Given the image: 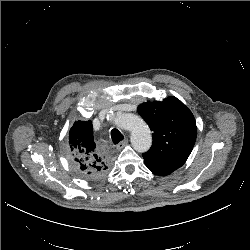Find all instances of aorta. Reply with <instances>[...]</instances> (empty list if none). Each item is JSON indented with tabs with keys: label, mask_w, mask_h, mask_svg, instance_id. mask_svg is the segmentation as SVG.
<instances>
[{
	"label": "aorta",
	"mask_w": 250,
	"mask_h": 250,
	"mask_svg": "<svg viewBox=\"0 0 250 250\" xmlns=\"http://www.w3.org/2000/svg\"><path fill=\"white\" fill-rule=\"evenodd\" d=\"M112 122L131 132V144L137 152H146L152 144V136L149 127L138 116L133 114H118Z\"/></svg>",
	"instance_id": "762f6f07"
}]
</instances>
